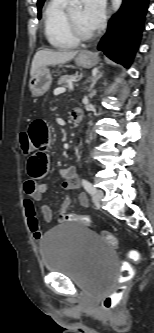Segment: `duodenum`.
<instances>
[{"label":"duodenum","mask_w":154,"mask_h":333,"mask_svg":"<svg viewBox=\"0 0 154 333\" xmlns=\"http://www.w3.org/2000/svg\"><path fill=\"white\" fill-rule=\"evenodd\" d=\"M83 110L80 108H74L71 110L70 117L74 124L80 123L83 118Z\"/></svg>","instance_id":"410a0bca"}]
</instances>
